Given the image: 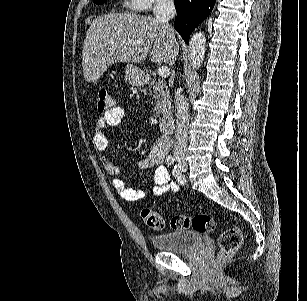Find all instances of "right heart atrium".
<instances>
[{"mask_svg": "<svg viewBox=\"0 0 307 301\" xmlns=\"http://www.w3.org/2000/svg\"><path fill=\"white\" fill-rule=\"evenodd\" d=\"M136 11H153L154 7L160 6L159 0H132Z\"/></svg>", "mask_w": 307, "mask_h": 301, "instance_id": "1", "label": "right heart atrium"}]
</instances>
